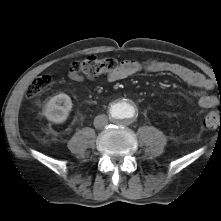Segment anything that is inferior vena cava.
I'll list each match as a JSON object with an SVG mask.
<instances>
[{"label":"inferior vena cava","mask_w":221,"mask_h":221,"mask_svg":"<svg viewBox=\"0 0 221 221\" xmlns=\"http://www.w3.org/2000/svg\"><path fill=\"white\" fill-rule=\"evenodd\" d=\"M108 124V118L106 115L102 114V115H98L95 117L94 119V126L97 129H102L103 127H105Z\"/></svg>","instance_id":"1"}]
</instances>
